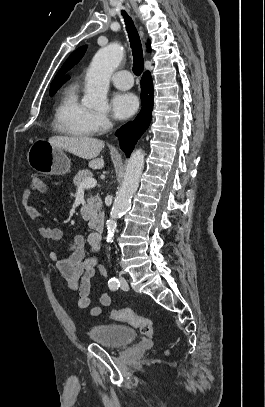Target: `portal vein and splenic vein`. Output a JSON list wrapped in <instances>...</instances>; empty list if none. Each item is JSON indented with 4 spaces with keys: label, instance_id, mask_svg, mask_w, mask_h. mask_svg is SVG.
<instances>
[{
    "label": "portal vein and splenic vein",
    "instance_id": "obj_1",
    "mask_svg": "<svg viewBox=\"0 0 265 407\" xmlns=\"http://www.w3.org/2000/svg\"><path fill=\"white\" fill-rule=\"evenodd\" d=\"M97 184V181L94 178H90V179H86L84 180L81 185L80 188L84 189V188H93L95 187Z\"/></svg>",
    "mask_w": 265,
    "mask_h": 407
}]
</instances>
